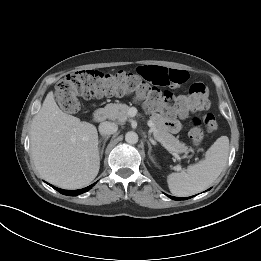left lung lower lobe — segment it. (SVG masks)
I'll list each match as a JSON object with an SVG mask.
<instances>
[{
	"instance_id": "left-lung-lower-lobe-1",
	"label": "left lung lower lobe",
	"mask_w": 261,
	"mask_h": 261,
	"mask_svg": "<svg viewBox=\"0 0 261 261\" xmlns=\"http://www.w3.org/2000/svg\"><path fill=\"white\" fill-rule=\"evenodd\" d=\"M170 198L174 199V200H185V199H188V198H191V197H188V198H179V197H173V196H169Z\"/></svg>"
}]
</instances>
